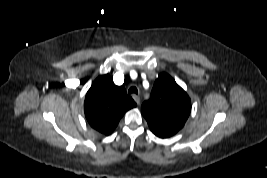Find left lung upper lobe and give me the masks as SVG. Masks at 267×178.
I'll list each match as a JSON object with an SVG mask.
<instances>
[{
  "label": "left lung upper lobe",
  "instance_id": "1",
  "mask_svg": "<svg viewBox=\"0 0 267 178\" xmlns=\"http://www.w3.org/2000/svg\"><path fill=\"white\" fill-rule=\"evenodd\" d=\"M191 111L187 93L166 73L154 83L150 99L141 107L151 131L160 138L175 135L185 124Z\"/></svg>",
  "mask_w": 267,
  "mask_h": 178
}]
</instances>
